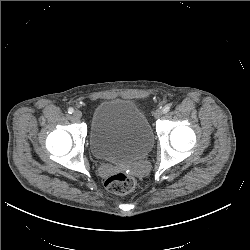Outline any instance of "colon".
<instances>
[{
    "mask_svg": "<svg viewBox=\"0 0 250 250\" xmlns=\"http://www.w3.org/2000/svg\"><path fill=\"white\" fill-rule=\"evenodd\" d=\"M136 180L127 173H116L105 180L106 189L117 195H125L134 190Z\"/></svg>",
    "mask_w": 250,
    "mask_h": 250,
    "instance_id": "obj_1",
    "label": "colon"
}]
</instances>
